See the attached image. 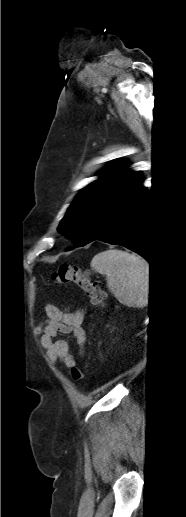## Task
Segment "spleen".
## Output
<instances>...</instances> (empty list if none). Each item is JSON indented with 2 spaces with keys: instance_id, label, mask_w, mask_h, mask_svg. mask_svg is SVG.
Here are the masks:
<instances>
[{
  "instance_id": "spleen-1",
  "label": "spleen",
  "mask_w": 186,
  "mask_h": 517,
  "mask_svg": "<svg viewBox=\"0 0 186 517\" xmlns=\"http://www.w3.org/2000/svg\"><path fill=\"white\" fill-rule=\"evenodd\" d=\"M91 268L107 277V287L118 301L129 307H145L149 300V264L122 250L96 254Z\"/></svg>"
}]
</instances>
